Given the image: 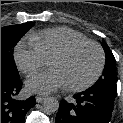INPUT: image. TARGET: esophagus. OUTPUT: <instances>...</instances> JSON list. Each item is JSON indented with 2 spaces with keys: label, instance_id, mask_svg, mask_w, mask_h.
Wrapping results in <instances>:
<instances>
[{
  "label": "esophagus",
  "instance_id": "obj_1",
  "mask_svg": "<svg viewBox=\"0 0 123 123\" xmlns=\"http://www.w3.org/2000/svg\"><path fill=\"white\" fill-rule=\"evenodd\" d=\"M44 100H45V97H43V96H36V101L38 103H42Z\"/></svg>",
  "mask_w": 123,
  "mask_h": 123
}]
</instances>
